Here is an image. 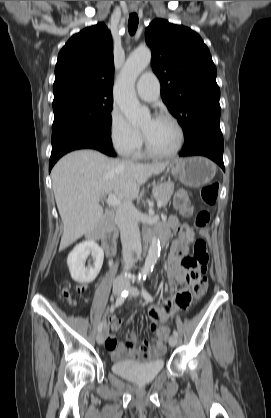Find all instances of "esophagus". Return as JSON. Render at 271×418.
I'll return each mask as SVG.
<instances>
[{
  "mask_svg": "<svg viewBox=\"0 0 271 418\" xmlns=\"http://www.w3.org/2000/svg\"><path fill=\"white\" fill-rule=\"evenodd\" d=\"M131 11L132 12H136L137 11V8H135V7L134 8H131Z\"/></svg>",
  "mask_w": 271,
  "mask_h": 418,
  "instance_id": "34e87169",
  "label": "esophagus"
}]
</instances>
